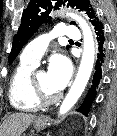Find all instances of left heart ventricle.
<instances>
[{
	"instance_id": "1",
	"label": "left heart ventricle",
	"mask_w": 117,
	"mask_h": 136,
	"mask_svg": "<svg viewBox=\"0 0 117 136\" xmlns=\"http://www.w3.org/2000/svg\"><path fill=\"white\" fill-rule=\"evenodd\" d=\"M36 79L38 86L41 88V90L46 96L51 97L59 93L51 86L48 80L47 73H45L44 71L38 72Z\"/></svg>"
}]
</instances>
